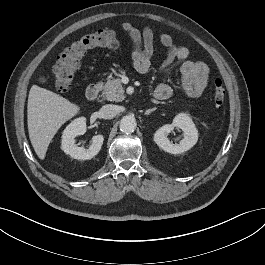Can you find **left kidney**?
Returning <instances> with one entry per match:
<instances>
[{"label":"left kidney","mask_w":265,"mask_h":265,"mask_svg":"<svg viewBox=\"0 0 265 265\" xmlns=\"http://www.w3.org/2000/svg\"><path fill=\"white\" fill-rule=\"evenodd\" d=\"M174 128H180L184 133V138L178 144H173L168 139V135ZM154 141L164 151L180 154L191 149L197 143L198 131L192 119L187 114L180 113L175 116L172 124H166L155 132Z\"/></svg>","instance_id":"obj_1"}]
</instances>
